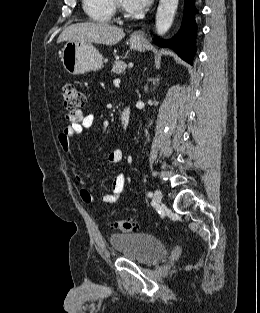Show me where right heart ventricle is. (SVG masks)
Masks as SVG:
<instances>
[{
    "mask_svg": "<svg viewBox=\"0 0 260 313\" xmlns=\"http://www.w3.org/2000/svg\"><path fill=\"white\" fill-rule=\"evenodd\" d=\"M83 8L89 18L95 22H110L114 15L112 0H83Z\"/></svg>",
    "mask_w": 260,
    "mask_h": 313,
    "instance_id": "obj_1",
    "label": "right heart ventricle"
}]
</instances>
